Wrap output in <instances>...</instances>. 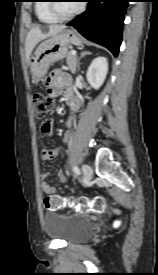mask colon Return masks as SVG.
I'll return each mask as SVG.
<instances>
[{
    "instance_id": "1",
    "label": "colon",
    "mask_w": 158,
    "mask_h": 275,
    "mask_svg": "<svg viewBox=\"0 0 158 275\" xmlns=\"http://www.w3.org/2000/svg\"><path fill=\"white\" fill-rule=\"evenodd\" d=\"M32 100L34 104V113L37 118H43L52 107L51 97L43 92H35L32 96ZM44 205L46 209L51 211L68 206L83 213H101L106 208V201L103 197L65 198L59 195H49L44 198Z\"/></svg>"
}]
</instances>
